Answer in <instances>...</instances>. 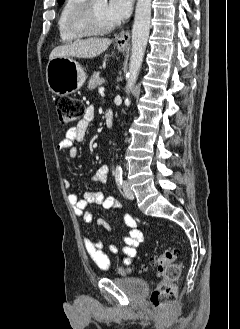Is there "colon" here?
Masks as SVG:
<instances>
[{"label": "colon", "instance_id": "colon-1", "mask_svg": "<svg viewBox=\"0 0 240 329\" xmlns=\"http://www.w3.org/2000/svg\"><path fill=\"white\" fill-rule=\"evenodd\" d=\"M58 120L62 126H70L84 114V108L77 99L61 96L56 100ZM176 249L167 250L151 258V264L161 274V280L150 295L151 305L158 310L171 307L177 297V282L181 274V264L171 262L178 256ZM122 272H127L123 269Z\"/></svg>", "mask_w": 240, "mask_h": 329}]
</instances>
